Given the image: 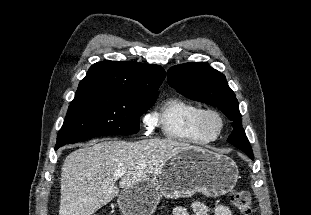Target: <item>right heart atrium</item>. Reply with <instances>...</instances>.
I'll return each mask as SVG.
<instances>
[{"mask_svg":"<svg viewBox=\"0 0 311 215\" xmlns=\"http://www.w3.org/2000/svg\"><path fill=\"white\" fill-rule=\"evenodd\" d=\"M144 124L147 126V127H152L155 125V118L152 114H147L145 117H144Z\"/></svg>","mask_w":311,"mask_h":215,"instance_id":"obj_1","label":"right heart atrium"}]
</instances>
